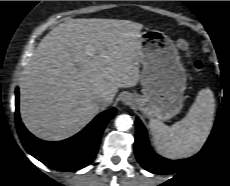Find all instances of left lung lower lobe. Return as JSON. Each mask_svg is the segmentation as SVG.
I'll return each mask as SVG.
<instances>
[{"label":"left lung lower lobe","instance_id":"left-lung-lower-lobe-1","mask_svg":"<svg viewBox=\"0 0 230 186\" xmlns=\"http://www.w3.org/2000/svg\"><path fill=\"white\" fill-rule=\"evenodd\" d=\"M135 154L140 165L147 171L156 174L176 173L183 167L192 164L199 154L183 160H169L155 154L149 145L147 132L139 119L135 122Z\"/></svg>","mask_w":230,"mask_h":186}]
</instances>
